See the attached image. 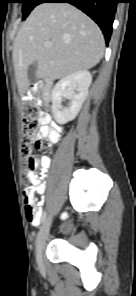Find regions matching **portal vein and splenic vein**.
Listing matches in <instances>:
<instances>
[{
	"mask_svg": "<svg viewBox=\"0 0 136 296\" xmlns=\"http://www.w3.org/2000/svg\"><path fill=\"white\" fill-rule=\"evenodd\" d=\"M44 45H45V47H50L51 46V43L46 42Z\"/></svg>",
	"mask_w": 136,
	"mask_h": 296,
	"instance_id": "obj_1",
	"label": "portal vein and splenic vein"
}]
</instances>
